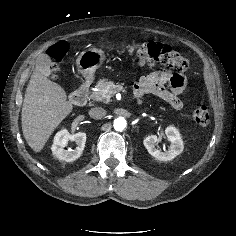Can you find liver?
<instances>
[{
  "label": "liver",
  "mask_w": 236,
  "mask_h": 236,
  "mask_svg": "<svg viewBox=\"0 0 236 236\" xmlns=\"http://www.w3.org/2000/svg\"><path fill=\"white\" fill-rule=\"evenodd\" d=\"M47 76L37 63L26 89L21 112L24 138L37 153L73 110L65 90Z\"/></svg>",
  "instance_id": "obj_1"
}]
</instances>
